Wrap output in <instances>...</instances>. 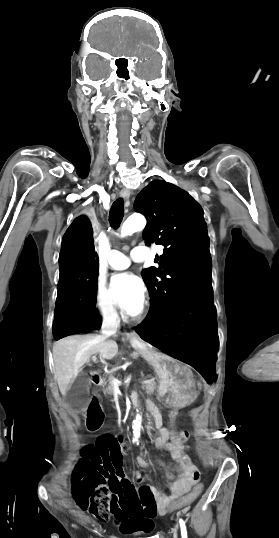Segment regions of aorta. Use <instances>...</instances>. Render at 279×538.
Returning a JSON list of instances; mask_svg holds the SVG:
<instances>
[{
    "mask_svg": "<svg viewBox=\"0 0 279 538\" xmlns=\"http://www.w3.org/2000/svg\"><path fill=\"white\" fill-rule=\"evenodd\" d=\"M146 226V219L139 214H134L128 217L121 228V236L132 235L137 231H141ZM140 427H141V416L137 415L136 420L133 425V434L135 440L137 441L140 436Z\"/></svg>",
    "mask_w": 279,
    "mask_h": 538,
    "instance_id": "obj_1",
    "label": "aorta"
}]
</instances>
